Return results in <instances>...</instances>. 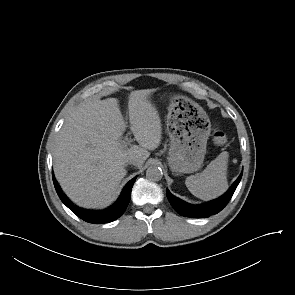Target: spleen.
<instances>
[{"mask_svg":"<svg viewBox=\"0 0 295 295\" xmlns=\"http://www.w3.org/2000/svg\"><path fill=\"white\" fill-rule=\"evenodd\" d=\"M228 157V152H222L202 173L187 177L185 184L188 190L202 200H211L222 195L228 189Z\"/></svg>","mask_w":295,"mask_h":295,"instance_id":"1","label":"spleen"}]
</instances>
